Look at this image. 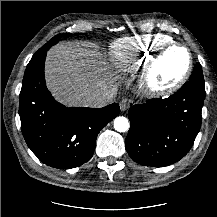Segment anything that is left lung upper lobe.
<instances>
[{
  "mask_svg": "<svg viewBox=\"0 0 217 217\" xmlns=\"http://www.w3.org/2000/svg\"><path fill=\"white\" fill-rule=\"evenodd\" d=\"M189 81L196 82L198 86L205 88L202 67L200 63H197L195 65L194 70L189 78Z\"/></svg>",
  "mask_w": 217,
  "mask_h": 217,
  "instance_id": "1",
  "label": "left lung upper lobe"
}]
</instances>
